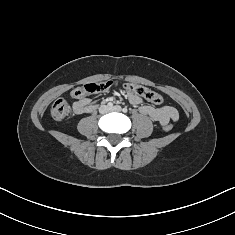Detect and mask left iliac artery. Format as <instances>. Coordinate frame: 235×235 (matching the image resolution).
<instances>
[{"label": "left iliac artery", "instance_id": "left-iliac-artery-1", "mask_svg": "<svg viewBox=\"0 0 235 235\" xmlns=\"http://www.w3.org/2000/svg\"><path fill=\"white\" fill-rule=\"evenodd\" d=\"M124 113H126L128 110H127V108H123V110H122Z\"/></svg>", "mask_w": 235, "mask_h": 235}]
</instances>
